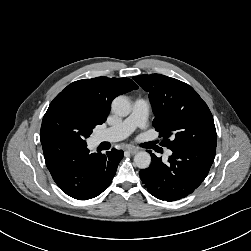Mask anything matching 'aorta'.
<instances>
[{
    "instance_id": "aorta-1",
    "label": "aorta",
    "mask_w": 251,
    "mask_h": 251,
    "mask_svg": "<svg viewBox=\"0 0 251 251\" xmlns=\"http://www.w3.org/2000/svg\"><path fill=\"white\" fill-rule=\"evenodd\" d=\"M112 112L118 116L126 117L131 112V105L124 96L116 97L111 104ZM134 163L140 169H146L151 163V156L148 152L141 151L134 156Z\"/></svg>"
}]
</instances>
